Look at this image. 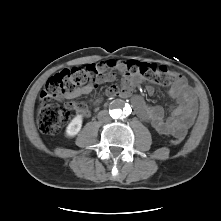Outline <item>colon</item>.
<instances>
[{
	"label": "colon",
	"mask_w": 221,
	"mask_h": 221,
	"mask_svg": "<svg viewBox=\"0 0 221 221\" xmlns=\"http://www.w3.org/2000/svg\"><path fill=\"white\" fill-rule=\"evenodd\" d=\"M127 69L130 74L140 76L148 82H153L161 87H167L177 81L180 75L152 63L128 61ZM98 79L96 65L90 64L82 67L63 69L48 78L40 94L37 111V125L44 134L57 133L68 121L70 113L67 107L62 106L58 99L81 85L95 83ZM108 92L118 94L114 86ZM182 137L175 135L172 143L179 144Z\"/></svg>",
	"instance_id": "colon-1"
}]
</instances>
